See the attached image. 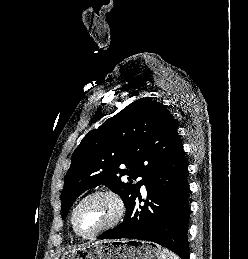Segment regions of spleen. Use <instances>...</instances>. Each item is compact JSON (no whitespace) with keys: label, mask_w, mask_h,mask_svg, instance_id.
<instances>
[{"label":"spleen","mask_w":248,"mask_h":259,"mask_svg":"<svg viewBox=\"0 0 248 259\" xmlns=\"http://www.w3.org/2000/svg\"><path fill=\"white\" fill-rule=\"evenodd\" d=\"M162 259H180L176 254L166 248L161 249Z\"/></svg>","instance_id":"1"}]
</instances>
